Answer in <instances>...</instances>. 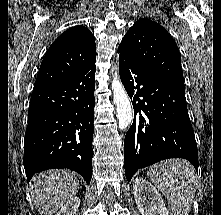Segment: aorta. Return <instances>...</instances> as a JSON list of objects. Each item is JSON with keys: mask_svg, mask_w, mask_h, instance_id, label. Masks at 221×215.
Segmentation results:
<instances>
[{"mask_svg": "<svg viewBox=\"0 0 221 215\" xmlns=\"http://www.w3.org/2000/svg\"><path fill=\"white\" fill-rule=\"evenodd\" d=\"M117 67L114 68L113 80L111 83L113 100L116 105L119 120V129H126L132 122V106L129 97L120 81Z\"/></svg>", "mask_w": 221, "mask_h": 215, "instance_id": "obj_1", "label": "aorta"}]
</instances>
